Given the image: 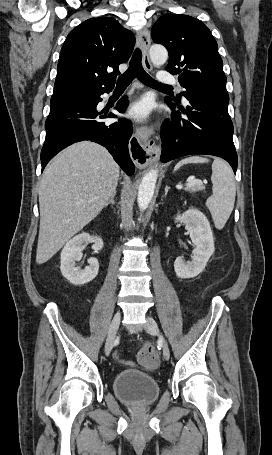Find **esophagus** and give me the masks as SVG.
<instances>
[{
	"mask_svg": "<svg viewBox=\"0 0 272 455\" xmlns=\"http://www.w3.org/2000/svg\"><path fill=\"white\" fill-rule=\"evenodd\" d=\"M137 42L142 50L143 66L148 70H152V65L149 59L150 33L147 28L141 29L137 34ZM153 128L148 126H139L136 129L135 138L131 141V150L134 157L135 165L140 168H146L153 162L157 161L160 154V147L156 145L151 138Z\"/></svg>",
	"mask_w": 272,
	"mask_h": 455,
	"instance_id": "34e87169",
	"label": "esophagus"
}]
</instances>
